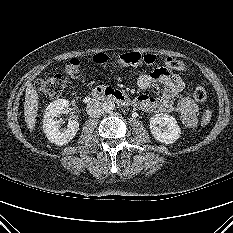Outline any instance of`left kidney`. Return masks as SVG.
<instances>
[{
    "label": "left kidney",
    "mask_w": 233,
    "mask_h": 233,
    "mask_svg": "<svg viewBox=\"0 0 233 233\" xmlns=\"http://www.w3.org/2000/svg\"><path fill=\"white\" fill-rule=\"evenodd\" d=\"M150 130L157 141L165 144L174 143L181 134L176 119L163 113L156 114L150 118Z\"/></svg>",
    "instance_id": "1"
}]
</instances>
